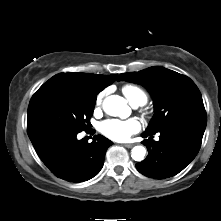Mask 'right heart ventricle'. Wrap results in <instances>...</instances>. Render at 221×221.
I'll return each mask as SVG.
<instances>
[{"label": "right heart ventricle", "mask_w": 221, "mask_h": 221, "mask_svg": "<svg viewBox=\"0 0 221 221\" xmlns=\"http://www.w3.org/2000/svg\"><path fill=\"white\" fill-rule=\"evenodd\" d=\"M122 92L132 105H144L147 102L146 93L135 85H125Z\"/></svg>", "instance_id": "right-heart-ventricle-1"}]
</instances>
